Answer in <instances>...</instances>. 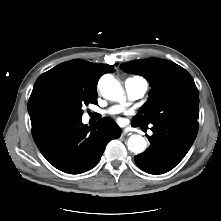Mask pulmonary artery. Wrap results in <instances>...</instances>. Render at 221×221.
I'll use <instances>...</instances> for the list:
<instances>
[{"mask_svg": "<svg viewBox=\"0 0 221 221\" xmlns=\"http://www.w3.org/2000/svg\"><path fill=\"white\" fill-rule=\"evenodd\" d=\"M124 87L131 100H137L144 96L147 91V82L140 78H129L125 81ZM122 108L114 106L109 109L110 113L119 112Z\"/></svg>", "mask_w": 221, "mask_h": 221, "instance_id": "pulmonary-artery-1", "label": "pulmonary artery"}]
</instances>
